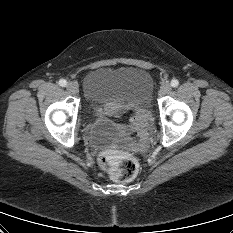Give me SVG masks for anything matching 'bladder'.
<instances>
[{"mask_svg": "<svg viewBox=\"0 0 233 233\" xmlns=\"http://www.w3.org/2000/svg\"><path fill=\"white\" fill-rule=\"evenodd\" d=\"M83 90L88 108L93 107L97 113L121 114L150 107L154 80L143 68L102 67L85 75Z\"/></svg>", "mask_w": 233, "mask_h": 233, "instance_id": "bladder-1", "label": "bladder"}]
</instances>
